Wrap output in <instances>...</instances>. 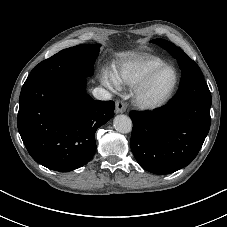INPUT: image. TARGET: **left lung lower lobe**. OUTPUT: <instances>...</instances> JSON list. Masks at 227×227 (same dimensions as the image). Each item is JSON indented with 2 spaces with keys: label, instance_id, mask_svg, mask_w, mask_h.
<instances>
[{
  "label": "left lung lower lobe",
  "instance_id": "0a47b994",
  "mask_svg": "<svg viewBox=\"0 0 227 227\" xmlns=\"http://www.w3.org/2000/svg\"><path fill=\"white\" fill-rule=\"evenodd\" d=\"M210 107L169 103L154 112H130V145L139 165L155 174H170L189 165L209 132Z\"/></svg>",
  "mask_w": 227,
  "mask_h": 227
}]
</instances>
